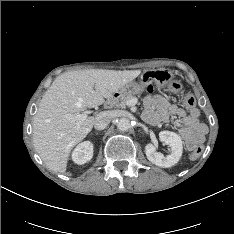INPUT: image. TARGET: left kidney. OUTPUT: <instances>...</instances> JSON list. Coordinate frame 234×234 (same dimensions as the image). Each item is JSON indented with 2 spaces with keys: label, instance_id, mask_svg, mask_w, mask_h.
<instances>
[{
  "label": "left kidney",
  "instance_id": "left-kidney-1",
  "mask_svg": "<svg viewBox=\"0 0 234 234\" xmlns=\"http://www.w3.org/2000/svg\"><path fill=\"white\" fill-rule=\"evenodd\" d=\"M159 139L166 145H169L171 153L164 156L156 151V147L153 144L148 143L145 147L147 159L159 167L169 168L174 166L182 156L183 146L181 138L174 132L162 131L159 133Z\"/></svg>",
  "mask_w": 234,
  "mask_h": 234
}]
</instances>
